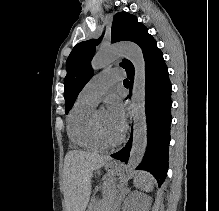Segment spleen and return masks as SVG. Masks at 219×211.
Wrapping results in <instances>:
<instances>
[{
    "label": "spleen",
    "mask_w": 219,
    "mask_h": 211,
    "mask_svg": "<svg viewBox=\"0 0 219 211\" xmlns=\"http://www.w3.org/2000/svg\"><path fill=\"white\" fill-rule=\"evenodd\" d=\"M135 187H139L142 191H152L154 187V179L148 171H139L134 177Z\"/></svg>",
    "instance_id": "1"
}]
</instances>
